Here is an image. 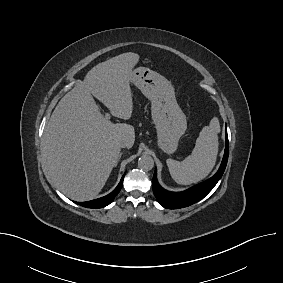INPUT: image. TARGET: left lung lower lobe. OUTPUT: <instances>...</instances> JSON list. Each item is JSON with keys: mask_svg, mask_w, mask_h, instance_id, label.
<instances>
[{"mask_svg": "<svg viewBox=\"0 0 283 283\" xmlns=\"http://www.w3.org/2000/svg\"><path fill=\"white\" fill-rule=\"evenodd\" d=\"M228 154L229 142L226 129L225 153L219 170L210 179L182 192H170L163 189L157 181L155 172L153 176V192L159 204L167 209H179L190 206L203 199L222 177L227 165Z\"/></svg>", "mask_w": 283, "mask_h": 283, "instance_id": "0a47b994", "label": "left lung lower lobe"}]
</instances>
